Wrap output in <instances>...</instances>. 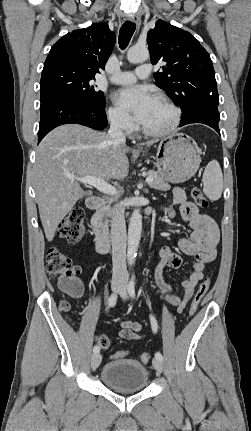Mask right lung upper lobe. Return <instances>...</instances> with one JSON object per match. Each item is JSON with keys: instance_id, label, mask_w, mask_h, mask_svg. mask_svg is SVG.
Masks as SVG:
<instances>
[{"instance_id": "cb5924a9", "label": "right lung upper lobe", "mask_w": 251, "mask_h": 431, "mask_svg": "<svg viewBox=\"0 0 251 431\" xmlns=\"http://www.w3.org/2000/svg\"><path fill=\"white\" fill-rule=\"evenodd\" d=\"M115 41V34L103 22L74 30L52 46L44 68L65 64L95 76L100 68L104 69Z\"/></svg>"}]
</instances>
